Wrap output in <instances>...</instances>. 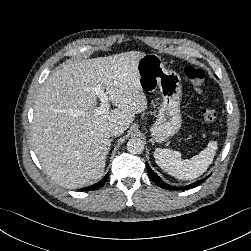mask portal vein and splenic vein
Here are the masks:
<instances>
[{
  "label": "portal vein and splenic vein",
  "instance_id": "obj_1",
  "mask_svg": "<svg viewBox=\"0 0 251 251\" xmlns=\"http://www.w3.org/2000/svg\"><path fill=\"white\" fill-rule=\"evenodd\" d=\"M93 91L100 98V101H101L100 107H97L94 110V113L96 115H102V114L106 113L109 110V107H110V104H109L110 98L106 95V93H104V91L102 90V88L100 87V85H98L95 88H93Z\"/></svg>",
  "mask_w": 251,
  "mask_h": 251
}]
</instances>
